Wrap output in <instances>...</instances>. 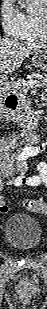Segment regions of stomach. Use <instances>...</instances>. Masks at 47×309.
<instances>
[{
  "label": "stomach",
  "mask_w": 47,
  "mask_h": 309,
  "mask_svg": "<svg viewBox=\"0 0 47 309\" xmlns=\"http://www.w3.org/2000/svg\"><path fill=\"white\" fill-rule=\"evenodd\" d=\"M32 65L47 71V46L35 52L32 57Z\"/></svg>",
  "instance_id": "1"
}]
</instances>
